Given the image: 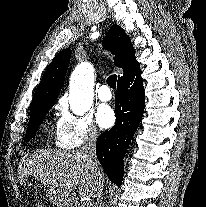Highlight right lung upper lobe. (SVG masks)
Segmentation results:
<instances>
[{
  "label": "right lung upper lobe",
  "mask_w": 206,
  "mask_h": 207,
  "mask_svg": "<svg viewBox=\"0 0 206 207\" xmlns=\"http://www.w3.org/2000/svg\"><path fill=\"white\" fill-rule=\"evenodd\" d=\"M103 45L115 55V65L123 69V76L138 64L130 38L120 26L113 25L110 28ZM70 57V49H64L55 56L36 89L30 111L45 104L53 105L62 88Z\"/></svg>",
  "instance_id": "cb5924a9"
}]
</instances>
